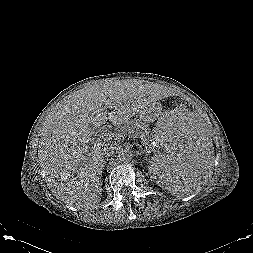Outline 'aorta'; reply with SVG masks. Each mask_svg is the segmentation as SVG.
Wrapping results in <instances>:
<instances>
[{"label": "aorta", "mask_w": 253, "mask_h": 253, "mask_svg": "<svg viewBox=\"0 0 253 253\" xmlns=\"http://www.w3.org/2000/svg\"><path fill=\"white\" fill-rule=\"evenodd\" d=\"M133 157V153L130 149L128 148H121L118 151V158L119 160L123 161V162H128L132 159Z\"/></svg>", "instance_id": "762f6f07"}]
</instances>
